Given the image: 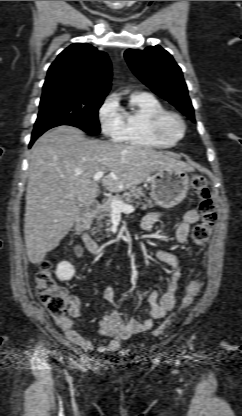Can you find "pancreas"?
Segmentation results:
<instances>
[{
	"label": "pancreas",
	"mask_w": 242,
	"mask_h": 416,
	"mask_svg": "<svg viewBox=\"0 0 242 416\" xmlns=\"http://www.w3.org/2000/svg\"><path fill=\"white\" fill-rule=\"evenodd\" d=\"M142 197H144L145 203H142V209L146 210L147 208H152L154 205L151 203L149 199L146 198L145 192L142 191L141 188H132L129 192L123 193V195H116L114 197H110L109 199L103 201L101 205L98 206L97 210L92 214L93 219L97 223V227L93 230L100 231V228L103 227V220L105 225L108 227L110 226V217L112 215V207L111 202L112 200H119L122 201L125 204H132L135 203L136 205L139 204V202L142 200ZM107 232L110 231L109 228L106 229ZM94 233V232H93Z\"/></svg>",
	"instance_id": "cf45deb5"
}]
</instances>
